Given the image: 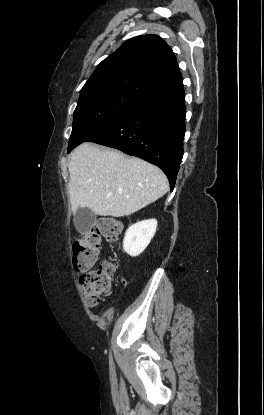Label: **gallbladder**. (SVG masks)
<instances>
[{
    "instance_id": "1",
    "label": "gallbladder",
    "mask_w": 264,
    "mask_h": 415,
    "mask_svg": "<svg viewBox=\"0 0 264 415\" xmlns=\"http://www.w3.org/2000/svg\"><path fill=\"white\" fill-rule=\"evenodd\" d=\"M96 215L88 208H79L75 213L74 224L77 231L81 234H86L92 227Z\"/></svg>"
}]
</instances>
